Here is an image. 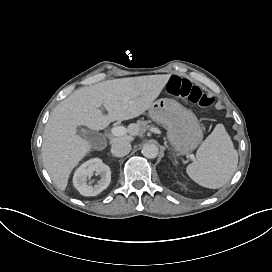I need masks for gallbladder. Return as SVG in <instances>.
I'll list each match as a JSON object with an SVG mask.
<instances>
[{"mask_svg": "<svg viewBox=\"0 0 272 272\" xmlns=\"http://www.w3.org/2000/svg\"><path fill=\"white\" fill-rule=\"evenodd\" d=\"M81 135H83L87 140L94 142L98 139V135L94 131L82 130Z\"/></svg>", "mask_w": 272, "mask_h": 272, "instance_id": "obj_1", "label": "gallbladder"}]
</instances>
